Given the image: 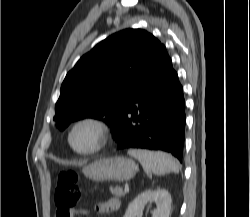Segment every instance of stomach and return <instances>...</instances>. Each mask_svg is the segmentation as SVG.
Here are the masks:
<instances>
[{"label":"stomach","mask_w":250,"mask_h":217,"mask_svg":"<svg viewBox=\"0 0 250 217\" xmlns=\"http://www.w3.org/2000/svg\"><path fill=\"white\" fill-rule=\"evenodd\" d=\"M137 170L136 163L125 157L99 159L83 167L84 175L96 182L128 181L134 177Z\"/></svg>","instance_id":"1"}]
</instances>
